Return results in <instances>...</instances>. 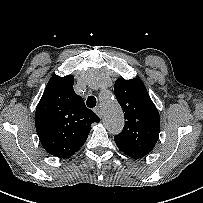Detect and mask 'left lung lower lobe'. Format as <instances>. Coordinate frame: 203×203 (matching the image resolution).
<instances>
[{
    "mask_svg": "<svg viewBox=\"0 0 203 203\" xmlns=\"http://www.w3.org/2000/svg\"><path fill=\"white\" fill-rule=\"evenodd\" d=\"M124 153H125V152H124ZM125 154H127V153H125ZM127 155H129V156H131V157H133V158L138 159V157H135V156H133V155H131V154H127Z\"/></svg>",
    "mask_w": 203,
    "mask_h": 203,
    "instance_id": "1",
    "label": "left lung lower lobe"
}]
</instances>
